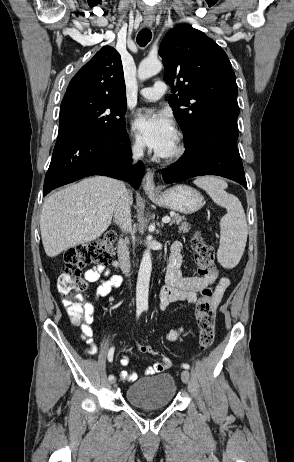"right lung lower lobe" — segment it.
Instances as JSON below:
<instances>
[{
	"label": "right lung lower lobe",
	"mask_w": 294,
	"mask_h": 462,
	"mask_svg": "<svg viewBox=\"0 0 294 462\" xmlns=\"http://www.w3.org/2000/svg\"><path fill=\"white\" fill-rule=\"evenodd\" d=\"M130 140L125 128L100 133H79L57 140L47 171L43 195L90 175L128 180L138 188L142 162L131 167Z\"/></svg>",
	"instance_id": "right-lung-lower-lobe-1"
}]
</instances>
